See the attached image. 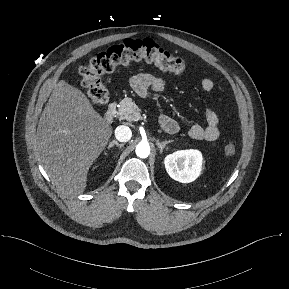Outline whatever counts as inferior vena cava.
<instances>
[{"mask_svg":"<svg viewBox=\"0 0 289 289\" xmlns=\"http://www.w3.org/2000/svg\"><path fill=\"white\" fill-rule=\"evenodd\" d=\"M115 137L120 142H127L132 137L131 129L128 126L120 125L115 129Z\"/></svg>","mask_w":289,"mask_h":289,"instance_id":"602c4592","label":"inferior vena cava"}]
</instances>
